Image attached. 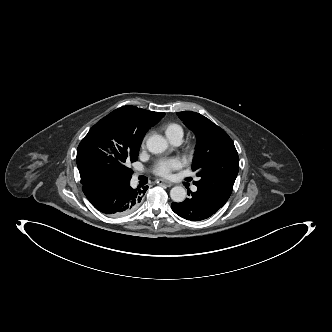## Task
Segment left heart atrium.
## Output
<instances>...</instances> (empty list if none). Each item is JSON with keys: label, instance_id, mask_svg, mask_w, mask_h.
<instances>
[{"label": "left heart atrium", "instance_id": "left-heart-atrium-1", "mask_svg": "<svg viewBox=\"0 0 332 332\" xmlns=\"http://www.w3.org/2000/svg\"><path fill=\"white\" fill-rule=\"evenodd\" d=\"M182 167V161L177 158H166L159 160L154 168V173L161 177H170L174 170Z\"/></svg>", "mask_w": 332, "mask_h": 332}]
</instances>
